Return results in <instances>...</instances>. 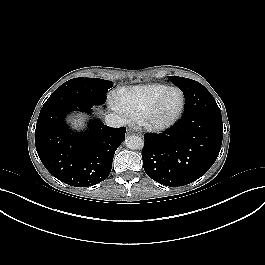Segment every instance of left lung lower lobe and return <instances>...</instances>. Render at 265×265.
<instances>
[{"mask_svg": "<svg viewBox=\"0 0 265 265\" xmlns=\"http://www.w3.org/2000/svg\"><path fill=\"white\" fill-rule=\"evenodd\" d=\"M182 118L164 134H145L142 150L146 174L169 187L187 185L214 164L222 144L223 124L218 106L205 103L199 85L182 89Z\"/></svg>", "mask_w": 265, "mask_h": 265, "instance_id": "0a47b994", "label": "left lung lower lobe"}]
</instances>
